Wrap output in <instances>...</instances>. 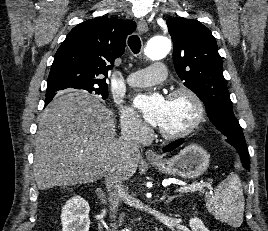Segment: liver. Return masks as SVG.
<instances>
[{
    "label": "liver",
    "instance_id": "6515ba94",
    "mask_svg": "<svg viewBox=\"0 0 268 231\" xmlns=\"http://www.w3.org/2000/svg\"><path fill=\"white\" fill-rule=\"evenodd\" d=\"M111 110L86 92H60L41 114L36 135L33 172L40 190L73 186L105 177L119 167L130 178L140 155L116 138Z\"/></svg>",
    "mask_w": 268,
    "mask_h": 231
}]
</instances>
